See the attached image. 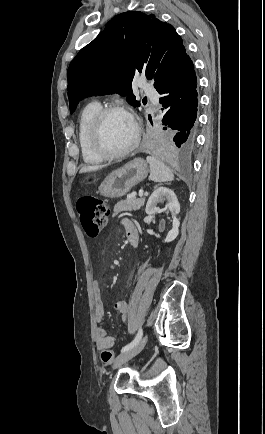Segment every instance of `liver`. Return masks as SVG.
<instances>
[{
	"label": "liver",
	"mask_w": 265,
	"mask_h": 434,
	"mask_svg": "<svg viewBox=\"0 0 265 434\" xmlns=\"http://www.w3.org/2000/svg\"><path fill=\"white\" fill-rule=\"evenodd\" d=\"M108 166V164H106ZM105 166H83L79 174H86V172H97V170H102Z\"/></svg>",
	"instance_id": "liver-1"
}]
</instances>
